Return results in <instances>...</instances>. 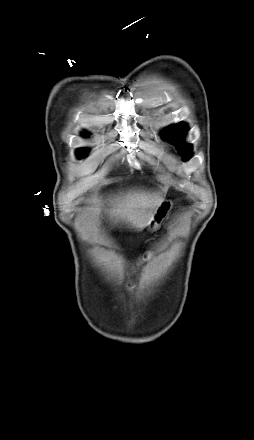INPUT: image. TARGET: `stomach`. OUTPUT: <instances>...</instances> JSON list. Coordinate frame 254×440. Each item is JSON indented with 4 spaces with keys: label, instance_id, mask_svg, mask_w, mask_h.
<instances>
[{
    "label": "stomach",
    "instance_id": "obj_1",
    "mask_svg": "<svg viewBox=\"0 0 254 440\" xmlns=\"http://www.w3.org/2000/svg\"><path fill=\"white\" fill-rule=\"evenodd\" d=\"M172 209L171 201H163L157 208L153 215V219L150 224H154V229L158 228L161 222L168 216L170 210Z\"/></svg>",
    "mask_w": 254,
    "mask_h": 440
}]
</instances>
